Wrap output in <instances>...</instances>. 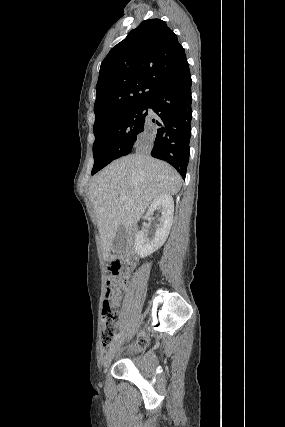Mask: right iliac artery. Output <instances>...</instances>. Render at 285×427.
I'll list each match as a JSON object with an SVG mask.
<instances>
[{"instance_id": "1", "label": "right iliac artery", "mask_w": 285, "mask_h": 427, "mask_svg": "<svg viewBox=\"0 0 285 427\" xmlns=\"http://www.w3.org/2000/svg\"><path fill=\"white\" fill-rule=\"evenodd\" d=\"M119 337H120V334L115 335L114 338H113V340H112V342L118 340Z\"/></svg>"}]
</instances>
